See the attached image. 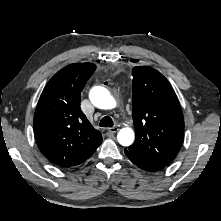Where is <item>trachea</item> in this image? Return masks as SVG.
Masks as SVG:
<instances>
[{
  "label": "trachea",
  "instance_id": "3493384b",
  "mask_svg": "<svg viewBox=\"0 0 221 221\" xmlns=\"http://www.w3.org/2000/svg\"><path fill=\"white\" fill-rule=\"evenodd\" d=\"M100 127H112L113 126V120L109 116H105L100 120L99 123Z\"/></svg>",
  "mask_w": 221,
  "mask_h": 221
}]
</instances>
